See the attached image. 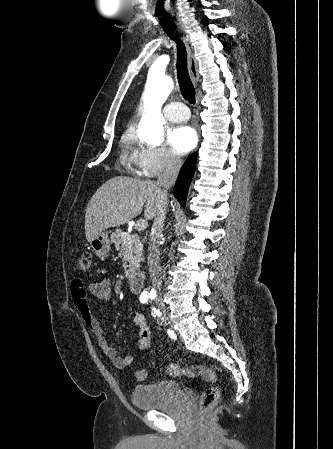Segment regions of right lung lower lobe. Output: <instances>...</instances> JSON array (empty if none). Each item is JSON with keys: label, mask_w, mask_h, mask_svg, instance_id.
I'll list each match as a JSON object with an SVG mask.
<instances>
[{"label": "right lung lower lobe", "mask_w": 333, "mask_h": 449, "mask_svg": "<svg viewBox=\"0 0 333 449\" xmlns=\"http://www.w3.org/2000/svg\"><path fill=\"white\" fill-rule=\"evenodd\" d=\"M197 154L189 155L177 178L174 187V196L180 202L182 206L185 205L188 187L193 179L195 166H196Z\"/></svg>", "instance_id": "98d812e1"}]
</instances>
